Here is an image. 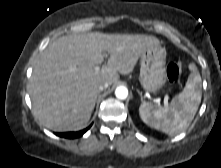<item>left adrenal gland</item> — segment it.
<instances>
[{
    "label": "left adrenal gland",
    "instance_id": "obj_1",
    "mask_svg": "<svg viewBox=\"0 0 221 168\" xmlns=\"http://www.w3.org/2000/svg\"><path fill=\"white\" fill-rule=\"evenodd\" d=\"M139 95L141 96V101L144 102L142 94L138 91Z\"/></svg>",
    "mask_w": 221,
    "mask_h": 168
}]
</instances>
